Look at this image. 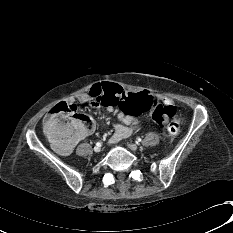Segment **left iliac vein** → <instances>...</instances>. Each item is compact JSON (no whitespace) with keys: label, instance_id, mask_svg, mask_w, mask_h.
I'll use <instances>...</instances> for the list:
<instances>
[{"label":"left iliac vein","instance_id":"left-iliac-vein-1","mask_svg":"<svg viewBox=\"0 0 233 233\" xmlns=\"http://www.w3.org/2000/svg\"><path fill=\"white\" fill-rule=\"evenodd\" d=\"M128 148L132 151H137L138 150V146L136 144H128Z\"/></svg>","mask_w":233,"mask_h":233}]
</instances>
